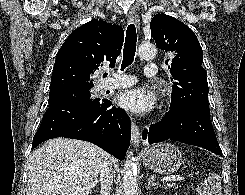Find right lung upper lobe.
Here are the masks:
<instances>
[{
	"label": "right lung upper lobe",
	"mask_w": 245,
	"mask_h": 195,
	"mask_svg": "<svg viewBox=\"0 0 245 195\" xmlns=\"http://www.w3.org/2000/svg\"><path fill=\"white\" fill-rule=\"evenodd\" d=\"M124 31L120 26L94 19L75 29L61 46L53 68L50 93L93 87L92 75L104 64L115 66Z\"/></svg>",
	"instance_id": "right-lung-upper-lobe-1"
}]
</instances>
